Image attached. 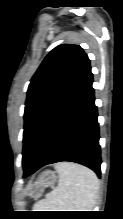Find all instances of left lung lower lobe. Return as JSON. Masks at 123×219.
<instances>
[{
	"instance_id": "left-lung-lower-lobe-1",
	"label": "left lung lower lobe",
	"mask_w": 123,
	"mask_h": 219,
	"mask_svg": "<svg viewBox=\"0 0 123 219\" xmlns=\"http://www.w3.org/2000/svg\"><path fill=\"white\" fill-rule=\"evenodd\" d=\"M92 83L90 70L53 113L24 166V177L60 161L82 164L100 177L99 124Z\"/></svg>"
}]
</instances>
